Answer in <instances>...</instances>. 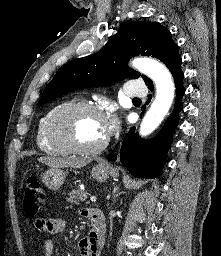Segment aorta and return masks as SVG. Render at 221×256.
Segmentation results:
<instances>
[{"label": "aorta", "instance_id": "1", "mask_svg": "<svg viewBox=\"0 0 221 256\" xmlns=\"http://www.w3.org/2000/svg\"><path fill=\"white\" fill-rule=\"evenodd\" d=\"M133 67L150 77L156 86V97L146 112L140 125V135L152 133L168 113L174 98L175 87L168 69L158 61L136 59Z\"/></svg>", "mask_w": 221, "mask_h": 256}]
</instances>
